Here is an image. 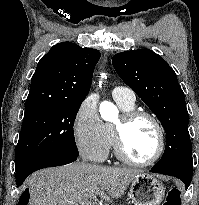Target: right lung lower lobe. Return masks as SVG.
Returning a JSON list of instances; mask_svg holds the SVG:
<instances>
[{
	"instance_id": "right-lung-lower-lobe-1",
	"label": "right lung lower lobe",
	"mask_w": 199,
	"mask_h": 205,
	"mask_svg": "<svg viewBox=\"0 0 199 205\" xmlns=\"http://www.w3.org/2000/svg\"><path fill=\"white\" fill-rule=\"evenodd\" d=\"M77 157H69L63 155H48L39 159H36L24 167L16 170V185L19 187L25 179L33 172L46 168L65 165L75 161Z\"/></svg>"
}]
</instances>
